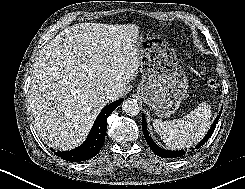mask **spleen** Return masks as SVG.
Returning <instances> with one entry per match:
<instances>
[{
    "label": "spleen",
    "mask_w": 245,
    "mask_h": 189,
    "mask_svg": "<svg viewBox=\"0 0 245 189\" xmlns=\"http://www.w3.org/2000/svg\"><path fill=\"white\" fill-rule=\"evenodd\" d=\"M210 118L211 108L208 103L202 102L183 118L164 122L154 119L153 127L167 146L189 148L206 134Z\"/></svg>",
    "instance_id": "spleen-1"
}]
</instances>
